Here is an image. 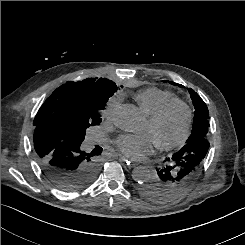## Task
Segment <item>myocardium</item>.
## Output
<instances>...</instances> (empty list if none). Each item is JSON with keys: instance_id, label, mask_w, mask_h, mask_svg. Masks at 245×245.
<instances>
[{"instance_id": "f54148a6", "label": "myocardium", "mask_w": 245, "mask_h": 245, "mask_svg": "<svg viewBox=\"0 0 245 245\" xmlns=\"http://www.w3.org/2000/svg\"><path fill=\"white\" fill-rule=\"evenodd\" d=\"M177 107L182 108L185 112V124H184L183 131L179 136V138L173 142L156 144L157 148L161 150L176 149L182 146L187 141V139L190 136L192 124H193V118H194L193 109L191 105L188 104L187 102L177 99L167 103L166 105H164L162 108H160L157 112H155L149 117L148 121L150 122V124L155 125L159 123L171 110Z\"/></svg>"}]
</instances>
